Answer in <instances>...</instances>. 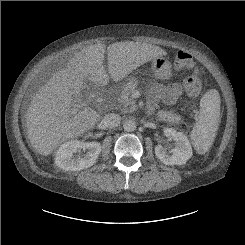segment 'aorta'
I'll use <instances>...</instances> for the list:
<instances>
[{"mask_svg":"<svg viewBox=\"0 0 245 245\" xmlns=\"http://www.w3.org/2000/svg\"><path fill=\"white\" fill-rule=\"evenodd\" d=\"M136 122L134 120H126L123 123V128L127 132H133L136 129Z\"/></svg>","mask_w":245,"mask_h":245,"instance_id":"762f6f07","label":"aorta"}]
</instances>
